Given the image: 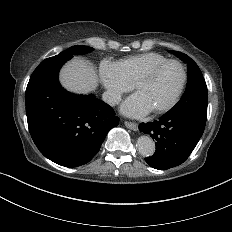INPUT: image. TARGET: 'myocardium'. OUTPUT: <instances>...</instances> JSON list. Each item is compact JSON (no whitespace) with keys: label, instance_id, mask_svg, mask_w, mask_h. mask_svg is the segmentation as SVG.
Masks as SVG:
<instances>
[{"label":"myocardium","instance_id":"f54148a6","mask_svg":"<svg viewBox=\"0 0 232 232\" xmlns=\"http://www.w3.org/2000/svg\"><path fill=\"white\" fill-rule=\"evenodd\" d=\"M168 64H176L180 67V69L182 71V83H181L178 91L176 92V94L172 98V100L167 105H165L164 107H162L160 109L153 111V113L156 115H161V114H165V113L169 112L171 109H173L176 106V104L180 100V98H181V96L186 88L187 80H188V73H187V69H186L185 65L180 60H177V59H166L160 63H157L156 65L151 67L148 71L141 74L132 84V90L136 91L137 87L141 83L151 79L161 68H163L164 66H166Z\"/></svg>","mask_w":232,"mask_h":232}]
</instances>
